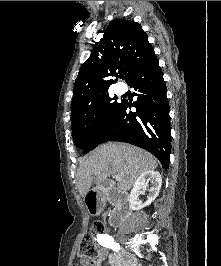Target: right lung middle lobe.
Here are the masks:
<instances>
[{"mask_svg":"<svg viewBox=\"0 0 221 266\" xmlns=\"http://www.w3.org/2000/svg\"><path fill=\"white\" fill-rule=\"evenodd\" d=\"M116 99L110 98L108 93L103 94L89 111L71 118L74 144L84 153L95 148L114 124L123 104Z\"/></svg>","mask_w":221,"mask_h":266,"instance_id":"right-lung-middle-lobe-1","label":"right lung middle lobe"}]
</instances>
